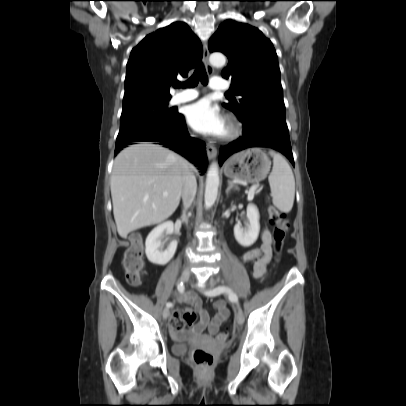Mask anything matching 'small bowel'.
Here are the masks:
<instances>
[{
	"label": "small bowel",
	"mask_w": 406,
	"mask_h": 406,
	"mask_svg": "<svg viewBox=\"0 0 406 406\" xmlns=\"http://www.w3.org/2000/svg\"><path fill=\"white\" fill-rule=\"evenodd\" d=\"M271 235L269 230L264 229L261 233L260 246L245 252L242 255L243 262H253L251 275L257 280H264L266 278L267 265L271 259ZM177 302L185 303L192 306L199 315V321L191 330V334L199 336L207 328L206 337L215 335L219 327L227 320L229 311L226 303L223 300H217L214 303L216 314L210 318L207 310L202 304V301L193 292H187L177 297ZM190 312V311H187ZM170 330L173 336L183 337L185 332L182 330H174L170 325Z\"/></svg>",
	"instance_id": "1"
}]
</instances>
